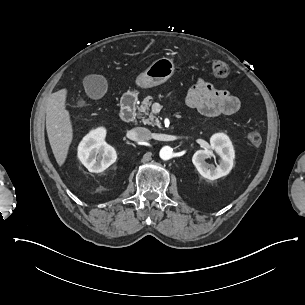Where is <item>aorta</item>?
<instances>
[{
    "label": "aorta",
    "mask_w": 305,
    "mask_h": 305,
    "mask_svg": "<svg viewBox=\"0 0 305 305\" xmlns=\"http://www.w3.org/2000/svg\"><path fill=\"white\" fill-rule=\"evenodd\" d=\"M173 149L170 146H164L160 150V158L162 160H169L172 158Z\"/></svg>",
    "instance_id": "762f6f07"
}]
</instances>
